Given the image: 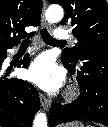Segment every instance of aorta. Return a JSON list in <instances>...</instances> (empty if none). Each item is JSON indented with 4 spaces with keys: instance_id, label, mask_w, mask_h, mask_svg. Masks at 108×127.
Listing matches in <instances>:
<instances>
[{
    "instance_id": "1",
    "label": "aorta",
    "mask_w": 108,
    "mask_h": 127,
    "mask_svg": "<svg viewBox=\"0 0 108 127\" xmlns=\"http://www.w3.org/2000/svg\"><path fill=\"white\" fill-rule=\"evenodd\" d=\"M46 19L50 23H56L62 20L64 16L63 8L59 5H51L47 8L45 12ZM33 127H47V118L46 114L39 112L33 122Z\"/></svg>"
}]
</instances>
